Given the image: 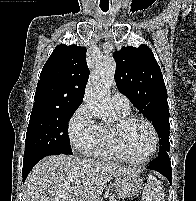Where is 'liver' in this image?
<instances>
[{
    "label": "liver",
    "mask_w": 196,
    "mask_h": 201,
    "mask_svg": "<svg viewBox=\"0 0 196 201\" xmlns=\"http://www.w3.org/2000/svg\"><path fill=\"white\" fill-rule=\"evenodd\" d=\"M136 170L110 162L52 155L43 158L25 181V201H99L106 184ZM79 190L82 193L76 196Z\"/></svg>",
    "instance_id": "6515ba94"
}]
</instances>
